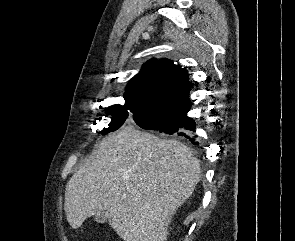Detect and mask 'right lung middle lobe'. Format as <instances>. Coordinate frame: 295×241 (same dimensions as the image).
I'll return each mask as SVG.
<instances>
[{
	"mask_svg": "<svg viewBox=\"0 0 295 241\" xmlns=\"http://www.w3.org/2000/svg\"><path fill=\"white\" fill-rule=\"evenodd\" d=\"M106 113V117L110 118L111 122L101 131L104 135L118 130L131 118L138 126H140L141 128H145L167 116L162 112L147 110L137 105L126 102L124 105L116 104L108 107Z\"/></svg>",
	"mask_w": 295,
	"mask_h": 241,
	"instance_id": "1",
	"label": "right lung middle lobe"
}]
</instances>
